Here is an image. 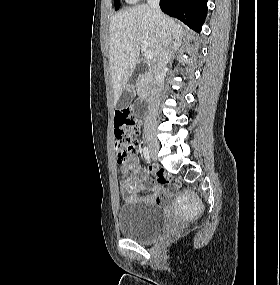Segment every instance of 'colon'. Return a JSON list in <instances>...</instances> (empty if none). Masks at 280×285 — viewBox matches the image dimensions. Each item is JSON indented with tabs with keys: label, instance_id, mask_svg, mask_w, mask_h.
Wrapping results in <instances>:
<instances>
[{
	"label": "colon",
	"instance_id": "1",
	"mask_svg": "<svg viewBox=\"0 0 280 285\" xmlns=\"http://www.w3.org/2000/svg\"><path fill=\"white\" fill-rule=\"evenodd\" d=\"M138 126L130 116L128 109L118 110L115 114V137L118 161L123 163L127 156L137 150ZM156 180L159 184H168L172 180L163 171L156 172Z\"/></svg>",
	"mask_w": 280,
	"mask_h": 285
}]
</instances>
